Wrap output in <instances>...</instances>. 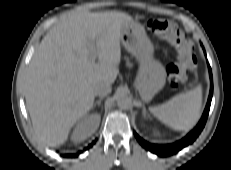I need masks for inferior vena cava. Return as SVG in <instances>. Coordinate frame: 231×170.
<instances>
[{
  "label": "inferior vena cava",
  "instance_id": "602c4592",
  "mask_svg": "<svg viewBox=\"0 0 231 170\" xmlns=\"http://www.w3.org/2000/svg\"><path fill=\"white\" fill-rule=\"evenodd\" d=\"M111 92V85L108 82H98L94 86V93L100 97H104Z\"/></svg>",
  "mask_w": 231,
  "mask_h": 170
}]
</instances>
